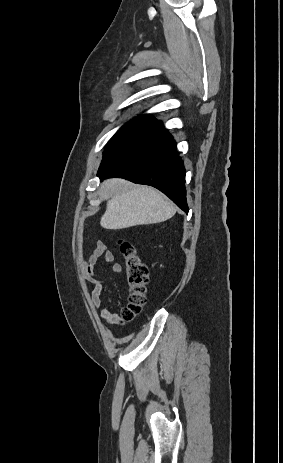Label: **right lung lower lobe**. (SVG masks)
Here are the masks:
<instances>
[{
  "mask_svg": "<svg viewBox=\"0 0 283 463\" xmlns=\"http://www.w3.org/2000/svg\"><path fill=\"white\" fill-rule=\"evenodd\" d=\"M100 179L122 177L153 186L188 213L185 169L171 135L155 120L104 151Z\"/></svg>",
  "mask_w": 283,
  "mask_h": 463,
  "instance_id": "right-lung-lower-lobe-1",
  "label": "right lung lower lobe"
}]
</instances>
